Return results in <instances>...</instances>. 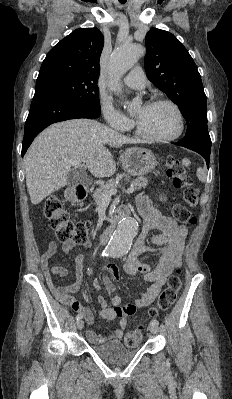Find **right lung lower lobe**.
<instances>
[{"mask_svg":"<svg viewBox=\"0 0 232 399\" xmlns=\"http://www.w3.org/2000/svg\"><path fill=\"white\" fill-rule=\"evenodd\" d=\"M100 113L55 90L35 89V95L25 123L22 156L26 153L34 138L50 124L77 118L96 119L100 116Z\"/></svg>","mask_w":232,"mask_h":399,"instance_id":"98d812e1","label":"right lung lower lobe"}]
</instances>
